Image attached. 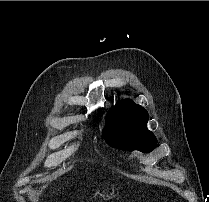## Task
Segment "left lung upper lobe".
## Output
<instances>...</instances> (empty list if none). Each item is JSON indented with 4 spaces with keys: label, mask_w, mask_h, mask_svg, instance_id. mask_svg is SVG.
Segmentation results:
<instances>
[{
    "label": "left lung upper lobe",
    "mask_w": 209,
    "mask_h": 202,
    "mask_svg": "<svg viewBox=\"0 0 209 202\" xmlns=\"http://www.w3.org/2000/svg\"><path fill=\"white\" fill-rule=\"evenodd\" d=\"M147 111L131 100L118 102L107 114L103 136L106 142L124 150L152 151L157 139L146 127Z\"/></svg>",
    "instance_id": "left-lung-upper-lobe-1"
}]
</instances>
